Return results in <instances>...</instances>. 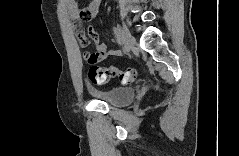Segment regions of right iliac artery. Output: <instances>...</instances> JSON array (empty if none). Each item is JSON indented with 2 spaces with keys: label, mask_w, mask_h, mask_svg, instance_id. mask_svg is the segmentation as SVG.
<instances>
[{
  "label": "right iliac artery",
  "mask_w": 239,
  "mask_h": 156,
  "mask_svg": "<svg viewBox=\"0 0 239 156\" xmlns=\"http://www.w3.org/2000/svg\"><path fill=\"white\" fill-rule=\"evenodd\" d=\"M113 31H114L115 37L117 38L118 42L121 44H125V40L121 33V30L118 27H114Z\"/></svg>",
  "instance_id": "82829eb1"
}]
</instances>
